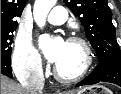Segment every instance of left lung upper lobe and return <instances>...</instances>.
Here are the masks:
<instances>
[{
    "label": "left lung upper lobe",
    "instance_id": "1",
    "mask_svg": "<svg viewBox=\"0 0 121 94\" xmlns=\"http://www.w3.org/2000/svg\"><path fill=\"white\" fill-rule=\"evenodd\" d=\"M80 19L98 61L121 60L108 0H63Z\"/></svg>",
    "mask_w": 121,
    "mask_h": 94
}]
</instances>
